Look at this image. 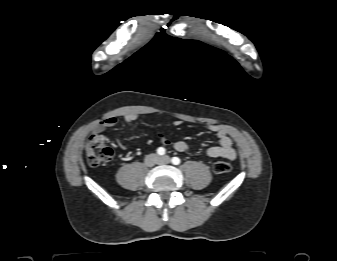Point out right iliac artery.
Returning <instances> with one entry per match:
<instances>
[{"label": "right iliac artery", "instance_id": "82829eb1", "mask_svg": "<svg viewBox=\"0 0 337 261\" xmlns=\"http://www.w3.org/2000/svg\"><path fill=\"white\" fill-rule=\"evenodd\" d=\"M165 152H166V150H165L163 147H159V148L157 149V153H158L159 155H164Z\"/></svg>", "mask_w": 337, "mask_h": 261}]
</instances>
